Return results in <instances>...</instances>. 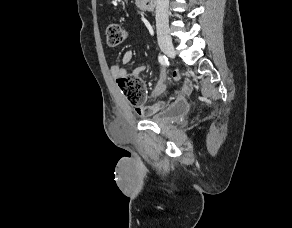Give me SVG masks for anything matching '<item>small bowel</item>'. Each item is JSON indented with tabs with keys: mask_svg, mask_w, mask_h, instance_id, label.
Segmentation results:
<instances>
[{
	"mask_svg": "<svg viewBox=\"0 0 292 228\" xmlns=\"http://www.w3.org/2000/svg\"><path fill=\"white\" fill-rule=\"evenodd\" d=\"M133 58V52L127 51L124 53L122 57V63L121 64H114L111 67V74L115 78H120L127 75V70L124 67L127 65ZM145 70L144 65H138L134 68L133 74L135 76H140L141 73ZM181 74L179 70H175L172 75V81H177L180 78ZM167 79V73L166 70H162L161 72V83L153 90L151 97L156 98L158 97L164 90V82ZM193 85L192 82L189 79H185L180 89L177 91L174 101L177 103L182 100L184 96L189 95L192 92ZM167 104L164 101H158L150 106L137 108L136 112L140 116H152L157 114L158 112L162 111L164 108H166Z\"/></svg>",
	"mask_w": 292,
	"mask_h": 228,
	"instance_id": "1",
	"label": "small bowel"
}]
</instances>
